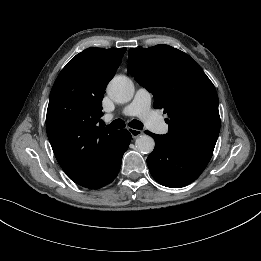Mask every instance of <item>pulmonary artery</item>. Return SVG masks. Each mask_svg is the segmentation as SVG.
Returning a JSON list of instances; mask_svg holds the SVG:
<instances>
[{
    "label": "pulmonary artery",
    "mask_w": 261,
    "mask_h": 261,
    "mask_svg": "<svg viewBox=\"0 0 261 261\" xmlns=\"http://www.w3.org/2000/svg\"><path fill=\"white\" fill-rule=\"evenodd\" d=\"M152 96L145 88H139L130 104L125 106L122 114L125 116H138L150 129L163 133L166 125L151 109Z\"/></svg>",
    "instance_id": "obj_1"
}]
</instances>
